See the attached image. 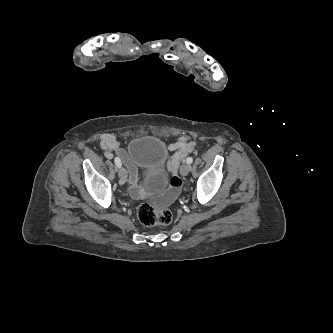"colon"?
I'll return each mask as SVG.
<instances>
[{"mask_svg": "<svg viewBox=\"0 0 333 333\" xmlns=\"http://www.w3.org/2000/svg\"><path fill=\"white\" fill-rule=\"evenodd\" d=\"M137 216L147 227L166 225L172 220V214L168 209L157 207L150 201H144L139 205Z\"/></svg>", "mask_w": 333, "mask_h": 333, "instance_id": "obj_1", "label": "colon"}]
</instances>
